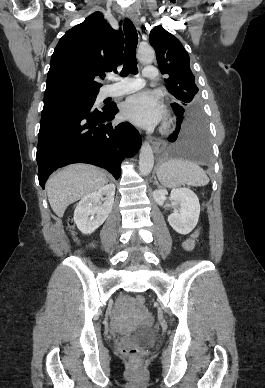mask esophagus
<instances>
[{
    "instance_id": "34e87169",
    "label": "esophagus",
    "mask_w": 265,
    "mask_h": 388,
    "mask_svg": "<svg viewBox=\"0 0 265 388\" xmlns=\"http://www.w3.org/2000/svg\"><path fill=\"white\" fill-rule=\"evenodd\" d=\"M126 16L137 25V14L134 10H127ZM150 141L153 145L155 153H161L163 151V149L165 148L164 143L159 139L151 138Z\"/></svg>"
}]
</instances>
